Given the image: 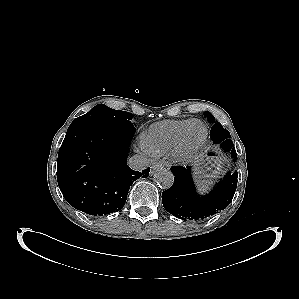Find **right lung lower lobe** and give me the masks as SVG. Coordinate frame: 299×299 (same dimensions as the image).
<instances>
[{
    "instance_id": "1",
    "label": "right lung lower lobe",
    "mask_w": 299,
    "mask_h": 299,
    "mask_svg": "<svg viewBox=\"0 0 299 299\" xmlns=\"http://www.w3.org/2000/svg\"><path fill=\"white\" fill-rule=\"evenodd\" d=\"M134 133V126L67 131L58 154L57 181L71 206L93 216L123 208L129 187L150 171L127 165Z\"/></svg>"
}]
</instances>
